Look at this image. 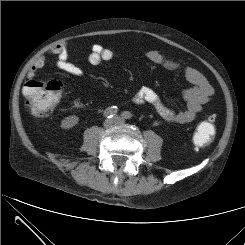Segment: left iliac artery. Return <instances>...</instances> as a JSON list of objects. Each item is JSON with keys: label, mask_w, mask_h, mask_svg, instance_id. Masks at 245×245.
Wrapping results in <instances>:
<instances>
[{"label": "left iliac artery", "mask_w": 245, "mask_h": 245, "mask_svg": "<svg viewBox=\"0 0 245 245\" xmlns=\"http://www.w3.org/2000/svg\"><path fill=\"white\" fill-rule=\"evenodd\" d=\"M121 116L125 119H131L132 118V114L129 111H124Z\"/></svg>", "instance_id": "44dca946"}]
</instances>
